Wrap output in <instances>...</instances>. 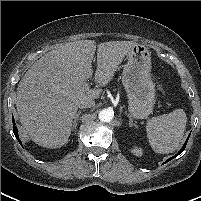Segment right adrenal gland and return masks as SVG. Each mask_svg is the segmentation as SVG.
<instances>
[{"label":"right adrenal gland","mask_w":201,"mask_h":201,"mask_svg":"<svg viewBox=\"0 0 201 201\" xmlns=\"http://www.w3.org/2000/svg\"><path fill=\"white\" fill-rule=\"evenodd\" d=\"M81 115V111H78L74 117L73 125H72V130H75L77 127V122L79 119V116Z\"/></svg>","instance_id":"2a0ac1e0"}]
</instances>
